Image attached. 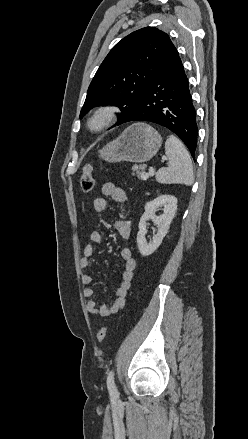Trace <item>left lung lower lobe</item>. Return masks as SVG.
Returning a JSON list of instances; mask_svg holds the SVG:
<instances>
[{
  "instance_id": "1",
  "label": "left lung lower lobe",
  "mask_w": 248,
  "mask_h": 439,
  "mask_svg": "<svg viewBox=\"0 0 248 439\" xmlns=\"http://www.w3.org/2000/svg\"><path fill=\"white\" fill-rule=\"evenodd\" d=\"M149 121L174 132L195 160L196 111L177 49L144 92L134 111L123 121Z\"/></svg>"
}]
</instances>
